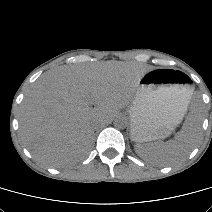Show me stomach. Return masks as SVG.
<instances>
[{
    "instance_id": "obj_1",
    "label": "stomach",
    "mask_w": 212,
    "mask_h": 212,
    "mask_svg": "<svg viewBox=\"0 0 212 212\" xmlns=\"http://www.w3.org/2000/svg\"><path fill=\"white\" fill-rule=\"evenodd\" d=\"M181 71L154 69L139 80L130 107L131 138L137 143L167 137L182 120L193 89Z\"/></svg>"
}]
</instances>
